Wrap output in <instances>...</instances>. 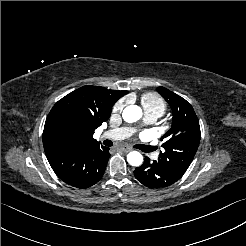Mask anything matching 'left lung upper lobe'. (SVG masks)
<instances>
[{"instance_id":"1","label":"left lung upper lobe","mask_w":246,"mask_h":246,"mask_svg":"<svg viewBox=\"0 0 246 246\" xmlns=\"http://www.w3.org/2000/svg\"><path fill=\"white\" fill-rule=\"evenodd\" d=\"M157 92L169 103L173 112L171 129L161 137L164 152L158 161L182 177L191 164L200 142V126L192 106L164 87Z\"/></svg>"}]
</instances>
